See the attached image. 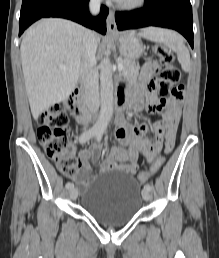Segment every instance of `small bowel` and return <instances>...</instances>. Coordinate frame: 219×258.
<instances>
[{"instance_id":"1","label":"small bowel","mask_w":219,"mask_h":258,"mask_svg":"<svg viewBox=\"0 0 219 258\" xmlns=\"http://www.w3.org/2000/svg\"><path fill=\"white\" fill-rule=\"evenodd\" d=\"M159 71V65L155 61L146 62L142 68L139 81L127 89H119L122 97L133 95L130 115L139 112L143 108L142 93L146 90V109L152 113H162L163 119L154 124L155 139L153 141L144 138L143 134L148 129L145 122L132 126L125 117L120 114L116 120V137L120 143L114 148L107 158L100 164V171L121 170L134 174L139 171L138 156H145L151 163L153 157L159 152L164 143L165 150L170 152L174 147L176 130L180 119L183 97L176 99L171 97L166 101L157 99L151 83ZM165 106L168 107L165 110ZM100 144H94L89 149H83L78 154L77 171L73 180L81 187L88 186L91 180L89 160L96 161L100 155ZM150 173V172H149ZM150 177V176H149Z\"/></svg>"}]
</instances>
